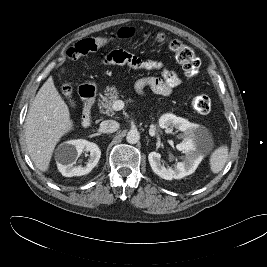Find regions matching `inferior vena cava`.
<instances>
[{
	"label": "inferior vena cava",
	"instance_id": "602c4592",
	"mask_svg": "<svg viewBox=\"0 0 267 267\" xmlns=\"http://www.w3.org/2000/svg\"><path fill=\"white\" fill-rule=\"evenodd\" d=\"M119 128V123L115 120H105L100 124V131L103 133H113Z\"/></svg>",
	"mask_w": 267,
	"mask_h": 267
}]
</instances>
